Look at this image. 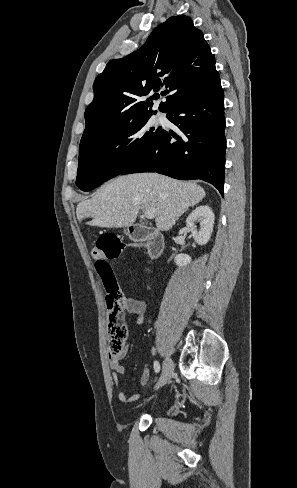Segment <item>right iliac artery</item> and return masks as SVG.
Here are the masks:
<instances>
[{"label":"right iliac artery","mask_w":297,"mask_h":488,"mask_svg":"<svg viewBox=\"0 0 297 488\" xmlns=\"http://www.w3.org/2000/svg\"><path fill=\"white\" fill-rule=\"evenodd\" d=\"M154 370L156 373L160 371V364L158 361H154Z\"/></svg>","instance_id":"82829eb1"}]
</instances>
